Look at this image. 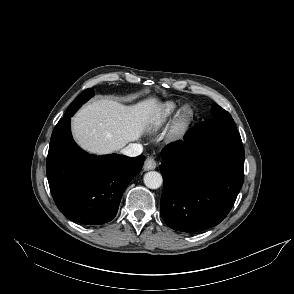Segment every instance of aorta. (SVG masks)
Returning a JSON list of instances; mask_svg holds the SVG:
<instances>
[{"mask_svg":"<svg viewBox=\"0 0 294 294\" xmlns=\"http://www.w3.org/2000/svg\"><path fill=\"white\" fill-rule=\"evenodd\" d=\"M162 183V175L156 171H150L144 175V184L150 189H157Z\"/></svg>","mask_w":294,"mask_h":294,"instance_id":"762f6f07","label":"aorta"}]
</instances>
